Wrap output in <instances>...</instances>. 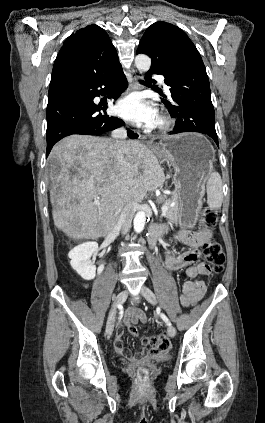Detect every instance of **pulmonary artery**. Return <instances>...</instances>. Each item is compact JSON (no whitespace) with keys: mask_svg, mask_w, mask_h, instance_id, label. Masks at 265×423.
<instances>
[{"mask_svg":"<svg viewBox=\"0 0 265 423\" xmlns=\"http://www.w3.org/2000/svg\"><path fill=\"white\" fill-rule=\"evenodd\" d=\"M160 81L163 83V78L162 77H160ZM164 85V89H165V91L167 92V93H169L170 91H169V87L167 86V85H165V84H163Z\"/></svg>","mask_w":265,"mask_h":423,"instance_id":"1","label":"pulmonary artery"}]
</instances>
